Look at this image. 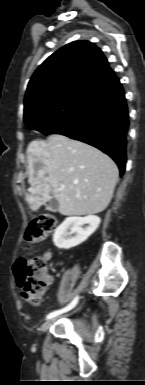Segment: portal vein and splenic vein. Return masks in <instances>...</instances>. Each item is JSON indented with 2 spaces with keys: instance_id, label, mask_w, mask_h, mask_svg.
Segmentation results:
<instances>
[{
  "instance_id": "obj_1",
  "label": "portal vein and splenic vein",
  "mask_w": 145,
  "mask_h": 385,
  "mask_svg": "<svg viewBox=\"0 0 145 385\" xmlns=\"http://www.w3.org/2000/svg\"><path fill=\"white\" fill-rule=\"evenodd\" d=\"M60 188H61V189H64V188H65V185H63V184L60 185Z\"/></svg>"
}]
</instances>
